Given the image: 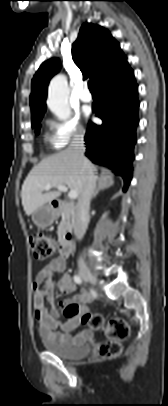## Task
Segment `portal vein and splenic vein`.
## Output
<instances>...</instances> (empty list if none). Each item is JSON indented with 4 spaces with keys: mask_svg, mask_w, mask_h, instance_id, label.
<instances>
[{
    "mask_svg": "<svg viewBox=\"0 0 168 406\" xmlns=\"http://www.w3.org/2000/svg\"><path fill=\"white\" fill-rule=\"evenodd\" d=\"M52 186H53V185L48 184V185L45 186L44 190L48 191V190H50V188H52ZM56 187H57L60 191L66 192V191L68 190V188H67L65 185H62V184L56 185ZM68 197H69L70 199H75V198L78 197V193H77L75 190H71V191L68 193Z\"/></svg>",
    "mask_w": 168,
    "mask_h": 406,
    "instance_id": "18ae733b",
    "label": "portal vein and splenic vein"
}]
</instances>
